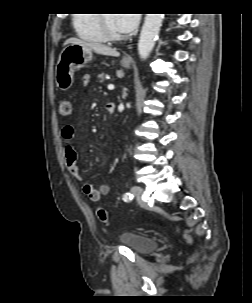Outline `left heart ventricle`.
<instances>
[{
	"label": "left heart ventricle",
	"mask_w": 252,
	"mask_h": 303,
	"mask_svg": "<svg viewBox=\"0 0 252 303\" xmlns=\"http://www.w3.org/2000/svg\"><path fill=\"white\" fill-rule=\"evenodd\" d=\"M108 26L116 33H122L118 27L114 14H106Z\"/></svg>",
	"instance_id": "b2bd125f"
}]
</instances>
